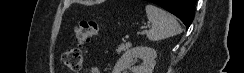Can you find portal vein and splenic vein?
Listing matches in <instances>:
<instances>
[{
  "instance_id": "portal-vein-and-splenic-vein-1",
  "label": "portal vein and splenic vein",
  "mask_w": 244,
  "mask_h": 73,
  "mask_svg": "<svg viewBox=\"0 0 244 73\" xmlns=\"http://www.w3.org/2000/svg\"><path fill=\"white\" fill-rule=\"evenodd\" d=\"M146 32H147V30L139 31V32H137V35H143V34H145Z\"/></svg>"
}]
</instances>
